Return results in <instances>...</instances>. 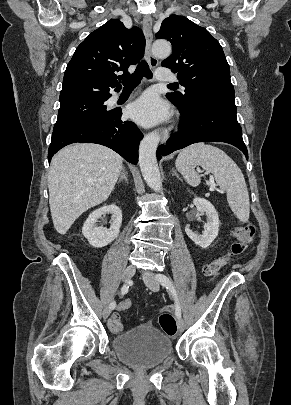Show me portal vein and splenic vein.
I'll return each instance as SVG.
<instances>
[{
  "label": "portal vein and splenic vein",
  "mask_w": 291,
  "mask_h": 405,
  "mask_svg": "<svg viewBox=\"0 0 291 405\" xmlns=\"http://www.w3.org/2000/svg\"><path fill=\"white\" fill-rule=\"evenodd\" d=\"M214 190H215V186L214 185L210 186V191H214Z\"/></svg>",
  "instance_id": "portal-vein-and-splenic-vein-1"
}]
</instances>
